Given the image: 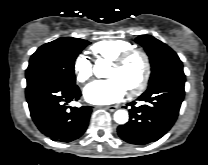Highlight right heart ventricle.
<instances>
[{
  "label": "right heart ventricle",
  "mask_w": 208,
  "mask_h": 165,
  "mask_svg": "<svg viewBox=\"0 0 208 165\" xmlns=\"http://www.w3.org/2000/svg\"><path fill=\"white\" fill-rule=\"evenodd\" d=\"M134 48V46L121 39H105L95 43L90 51L97 57L111 61L121 53Z\"/></svg>",
  "instance_id": "1"
}]
</instances>
